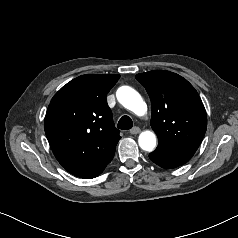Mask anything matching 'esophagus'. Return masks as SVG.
<instances>
[{
	"instance_id": "esophagus-1",
	"label": "esophagus",
	"mask_w": 238,
	"mask_h": 238,
	"mask_svg": "<svg viewBox=\"0 0 238 238\" xmlns=\"http://www.w3.org/2000/svg\"><path fill=\"white\" fill-rule=\"evenodd\" d=\"M129 132L132 135H136V134L140 133V128L139 127H133Z\"/></svg>"
}]
</instances>
